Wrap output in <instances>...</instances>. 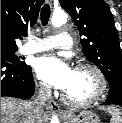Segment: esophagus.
I'll list each match as a JSON object with an SVG mask.
<instances>
[{
  "label": "esophagus",
  "mask_w": 122,
  "mask_h": 123,
  "mask_svg": "<svg viewBox=\"0 0 122 123\" xmlns=\"http://www.w3.org/2000/svg\"><path fill=\"white\" fill-rule=\"evenodd\" d=\"M47 3L51 4V1L47 0ZM48 108L52 113L63 114L60 110L59 104L54 100L49 101Z\"/></svg>",
  "instance_id": "1"
}]
</instances>
